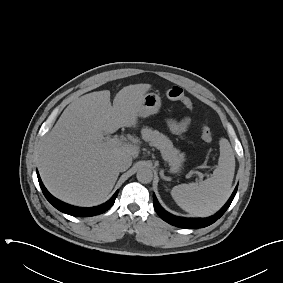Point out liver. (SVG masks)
Instances as JSON below:
<instances>
[{
    "instance_id": "obj_1",
    "label": "liver",
    "mask_w": 283,
    "mask_h": 283,
    "mask_svg": "<svg viewBox=\"0 0 283 283\" xmlns=\"http://www.w3.org/2000/svg\"><path fill=\"white\" fill-rule=\"evenodd\" d=\"M150 88L126 86L116 94L113 106L109 90L83 95L67 106L39 151V172L51 194L78 206L98 204L109 195L119 176L116 161L137 158L139 147H110L104 135L136 126L139 104Z\"/></svg>"
}]
</instances>
